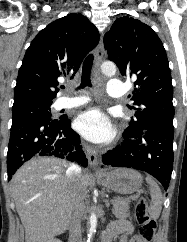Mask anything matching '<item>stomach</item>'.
Returning a JSON list of instances; mask_svg holds the SVG:
<instances>
[{"label":"stomach","mask_w":187,"mask_h":242,"mask_svg":"<svg viewBox=\"0 0 187 242\" xmlns=\"http://www.w3.org/2000/svg\"><path fill=\"white\" fill-rule=\"evenodd\" d=\"M104 187L121 194H131L142 184V176L133 169L120 168L97 177Z\"/></svg>","instance_id":"stomach-1"}]
</instances>
